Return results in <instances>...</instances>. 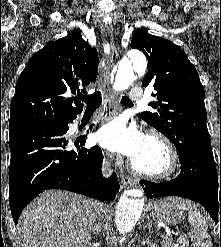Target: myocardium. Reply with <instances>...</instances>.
<instances>
[{"instance_id": "obj_1", "label": "myocardium", "mask_w": 221, "mask_h": 247, "mask_svg": "<svg viewBox=\"0 0 221 247\" xmlns=\"http://www.w3.org/2000/svg\"><path fill=\"white\" fill-rule=\"evenodd\" d=\"M146 137L155 139L165 146L169 154V167L163 172L150 173V172H145L137 168L134 165L133 161L130 160L129 166L131 170L133 171V173L139 177H142L148 180H155V181L168 180V179H171L177 176L181 170V157L173 141L168 136H166L164 133L158 130L148 131L146 134Z\"/></svg>"}]
</instances>
